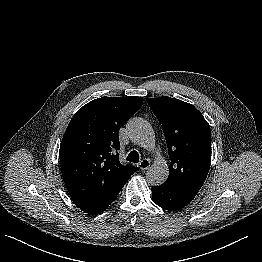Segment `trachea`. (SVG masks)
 <instances>
[{"label":"trachea","mask_w":262,"mask_h":262,"mask_svg":"<svg viewBox=\"0 0 262 262\" xmlns=\"http://www.w3.org/2000/svg\"><path fill=\"white\" fill-rule=\"evenodd\" d=\"M139 153L137 151H131L127 156V161L138 163L139 162Z\"/></svg>","instance_id":"3493384b"}]
</instances>
